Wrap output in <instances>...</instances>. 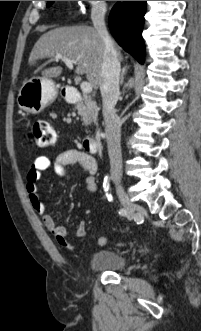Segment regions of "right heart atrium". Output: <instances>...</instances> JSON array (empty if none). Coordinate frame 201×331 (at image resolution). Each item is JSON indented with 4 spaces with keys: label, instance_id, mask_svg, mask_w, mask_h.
I'll use <instances>...</instances> for the list:
<instances>
[{
    "label": "right heart atrium",
    "instance_id": "obj_1",
    "mask_svg": "<svg viewBox=\"0 0 201 331\" xmlns=\"http://www.w3.org/2000/svg\"><path fill=\"white\" fill-rule=\"evenodd\" d=\"M80 3V2H79ZM82 15L89 16V19H100L107 10L106 1H81ZM88 9H85L87 8Z\"/></svg>",
    "mask_w": 201,
    "mask_h": 331
}]
</instances>
